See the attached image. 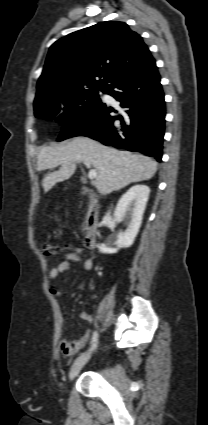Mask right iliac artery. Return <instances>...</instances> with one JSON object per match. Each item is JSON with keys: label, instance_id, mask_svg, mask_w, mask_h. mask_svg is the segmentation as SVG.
Segmentation results:
<instances>
[{"label": "right iliac artery", "instance_id": "82829eb1", "mask_svg": "<svg viewBox=\"0 0 208 425\" xmlns=\"http://www.w3.org/2000/svg\"><path fill=\"white\" fill-rule=\"evenodd\" d=\"M97 339H98V333L95 331V332H93V335H92L90 350H93L94 348H96Z\"/></svg>", "mask_w": 208, "mask_h": 425}]
</instances>
